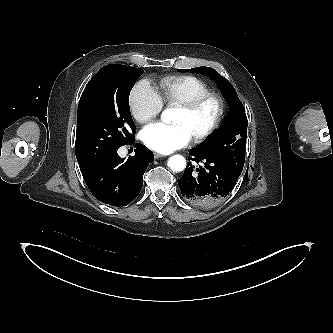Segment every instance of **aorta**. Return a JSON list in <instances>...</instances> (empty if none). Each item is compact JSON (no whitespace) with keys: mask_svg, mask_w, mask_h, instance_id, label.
<instances>
[{"mask_svg":"<svg viewBox=\"0 0 333 333\" xmlns=\"http://www.w3.org/2000/svg\"><path fill=\"white\" fill-rule=\"evenodd\" d=\"M174 109L168 108L161 114V119L164 123H170L173 119ZM168 166L174 172H181L186 166V160L181 155H173L168 159Z\"/></svg>","mask_w":333,"mask_h":333,"instance_id":"obj_1","label":"aorta"}]
</instances>
